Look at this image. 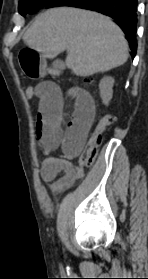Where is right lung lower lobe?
<instances>
[{"label":"right lung lower lobe","mask_w":148,"mask_h":279,"mask_svg":"<svg viewBox=\"0 0 148 279\" xmlns=\"http://www.w3.org/2000/svg\"><path fill=\"white\" fill-rule=\"evenodd\" d=\"M56 6L84 8L112 17L126 34L134 58L137 50V0H50L44 7Z\"/></svg>","instance_id":"98d812e1"}]
</instances>
